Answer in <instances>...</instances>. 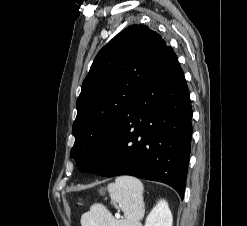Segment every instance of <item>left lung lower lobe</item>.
<instances>
[{
  "mask_svg": "<svg viewBox=\"0 0 247 226\" xmlns=\"http://www.w3.org/2000/svg\"><path fill=\"white\" fill-rule=\"evenodd\" d=\"M191 119L183 71L173 49L166 45L119 120L115 133L88 159L82 171L163 182L183 199Z\"/></svg>",
  "mask_w": 247,
  "mask_h": 226,
  "instance_id": "0a47b994",
  "label": "left lung lower lobe"
}]
</instances>
